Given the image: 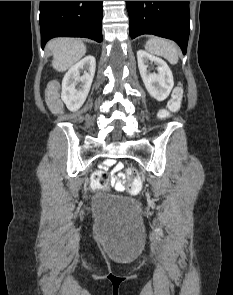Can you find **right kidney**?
Listing matches in <instances>:
<instances>
[{
	"instance_id": "1",
	"label": "right kidney",
	"mask_w": 233,
	"mask_h": 295,
	"mask_svg": "<svg viewBox=\"0 0 233 295\" xmlns=\"http://www.w3.org/2000/svg\"><path fill=\"white\" fill-rule=\"evenodd\" d=\"M96 68L95 58L86 56L65 74L62 81L61 99L70 111H77L85 102L91 88ZM84 74L80 76V71ZM77 82L81 85L77 88Z\"/></svg>"
}]
</instances>
